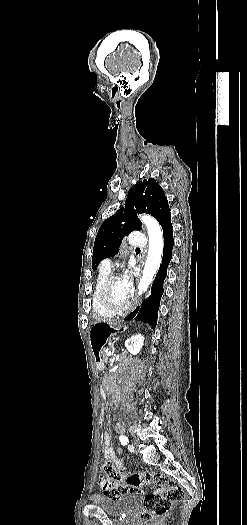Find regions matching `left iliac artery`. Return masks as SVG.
<instances>
[{
    "mask_svg": "<svg viewBox=\"0 0 247 525\" xmlns=\"http://www.w3.org/2000/svg\"><path fill=\"white\" fill-rule=\"evenodd\" d=\"M119 440H120L121 444L125 445V446L129 443V440H128V438L125 435H121L119 437Z\"/></svg>",
    "mask_w": 247,
    "mask_h": 525,
    "instance_id": "1",
    "label": "left iliac artery"
}]
</instances>
